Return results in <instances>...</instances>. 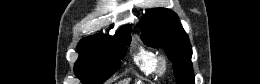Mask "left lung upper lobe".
I'll return each mask as SVG.
<instances>
[{"instance_id": "5c2ea615", "label": "left lung upper lobe", "mask_w": 260, "mask_h": 84, "mask_svg": "<svg viewBox=\"0 0 260 84\" xmlns=\"http://www.w3.org/2000/svg\"><path fill=\"white\" fill-rule=\"evenodd\" d=\"M139 26L142 28L141 38L147 46L165 50L173 63L176 82L194 84L192 48L178 16L168 9H152L143 16Z\"/></svg>"}]
</instances>
